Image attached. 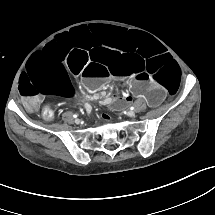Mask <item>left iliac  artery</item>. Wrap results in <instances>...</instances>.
I'll use <instances>...</instances> for the list:
<instances>
[{
    "instance_id": "44dca946",
    "label": "left iliac artery",
    "mask_w": 215,
    "mask_h": 215,
    "mask_svg": "<svg viewBox=\"0 0 215 215\" xmlns=\"http://www.w3.org/2000/svg\"><path fill=\"white\" fill-rule=\"evenodd\" d=\"M130 109H131V110H134V106H131Z\"/></svg>"
}]
</instances>
